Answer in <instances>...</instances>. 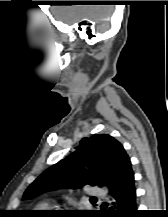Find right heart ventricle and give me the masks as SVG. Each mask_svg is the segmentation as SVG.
Here are the masks:
<instances>
[{"label": "right heart ventricle", "mask_w": 168, "mask_h": 217, "mask_svg": "<svg viewBox=\"0 0 168 217\" xmlns=\"http://www.w3.org/2000/svg\"><path fill=\"white\" fill-rule=\"evenodd\" d=\"M48 207V204H40L39 206H38V209H45V208H47Z\"/></svg>", "instance_id": "obj_1"}]
</instances>
